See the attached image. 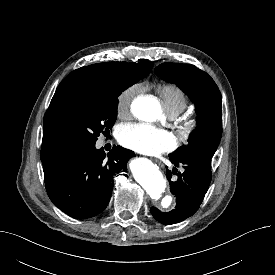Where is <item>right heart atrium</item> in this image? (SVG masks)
<instances>
[{
  "label": "right heart atrium",
  "mask_w": 275,
  "mask_h": 275,
  "mask_svg": "<svg viewBox=\"0 0 275 275\" xmlns=\"http://www.w3.org/2000/svg\"><path fill=\"white\" fill-rule=\"evenodd\" d=\"M141 91L142 85L135 83L127 86L119 93L116 101V111L119 117H125L129 114L133 100Z\"/></svg>",
  "instance_id": "obj_1"
}]
</instances>
